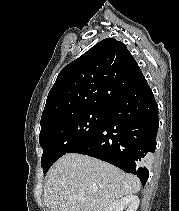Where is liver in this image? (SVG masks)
I'll return each instance as SVG.
<instances>
[{"mask_svg": "<svg viewBox=\"0 0 179 211\" xmlns=\"http://www.w3.org/2000/svg\"><path fill=\"white\" fill-rule=\"evenodd\" d=\"M140 189L136 176L99 159L69 153L50 168L44 203L49 211H105L114 201Z\"/></svg>", "mask_w": 179, "mask_h": 211, "instance_id": "6515ba94", "label": "liver"}]
</instances>
